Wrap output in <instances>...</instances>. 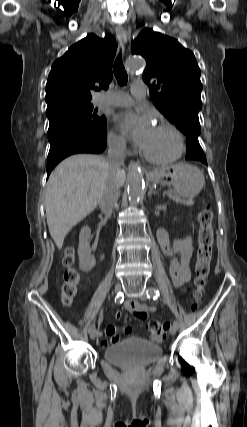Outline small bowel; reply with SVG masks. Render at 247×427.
Here are the masks:
<instances>
[{
    "label": "small bowel",
    "instance_id": "small-bowel-1",
    "mask_svg": "<svg viewBox=\"0 0 247 427\" xmlns=\"http://www.w3.org/2000/svg\"><path fill=\"white\" fill-rule=\"evenodd\" d=\"M157 240L161 247L162 252L170 260V276L174 286L180 287L190 280L191 277V258L193 255V244L192 237L190 234L187 236L170 240L167 232L164 229L157 231ZM125 309L130 312L135 318L144 320L147 316L155 311V307L147 306L134 300H128L124 304ZM116 319L122 318V312L117 311L115 313ZM130 326L124 327V332L129 334L131 332ZM106 336L109 338L111 343L119 342V335L117 328L114 325L107 326L105 330ZM153 341L160 342V338L151 337ZM102 346L108 345V340L103 339L101 341Z\"/></svg>",
    "mask_w": 247,
    "mask_h": 427
}]
</instances>
